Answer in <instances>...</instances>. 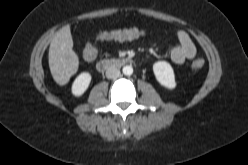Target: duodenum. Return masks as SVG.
Instances as JSON below:
<instances>
[{"label": "duodenum", "instance_id": "obj_1", "mask_svg": "<svg viewBox=\"0 0 248 165\" xmlns=\"http://www.w3.org/2000/svg\"><path fill=\"white\" fill-rule=\"evenodd\" d=\"M133 64V59L129 57L109 58L97 62L96 68L99 72H104L111 67L128 66Z\"/></svg>", "mask_w": 248, "mask_h": 165}]
</instances>
